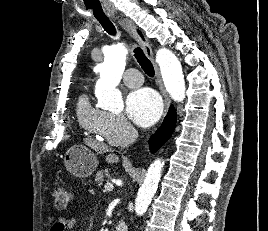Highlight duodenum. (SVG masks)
<instances>
[{"label":"duodenum","mask_w":268,"mask_h":231,"mask_svg":"<svg viewBox=\"0 0 268 231\" xmlns=\"http://www.w3.org/2000/svg\"><path fill=\"white\" fill-rule=\"evenodd\" d=\"M127 230H128L127 223L124 221H120L115 228V231H127Z\"/></svg>","instance_id":"obj_1"}]
</instances>
